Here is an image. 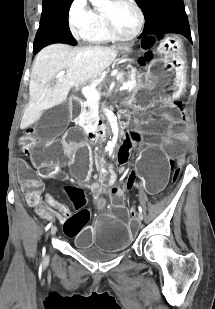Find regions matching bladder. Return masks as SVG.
Returning <instances> with one entry per match:
<instances>
[{"label":"bladder","mask_w":215,"mask_h":309,"mask_svg":"<svg viewBox=\"0 0 215 309\" xmlns=\"http://www.w3.org/2000/svg\"><path fill=\"white\" fill-rule=\"evenodd\" d=\"M88 258L94 260V261H107L114 258V255H106V256H98V255H86Z\"/></svg>","instance_id":"bladder-1"}]
</instances>
